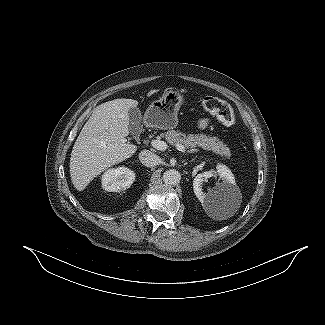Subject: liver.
<instances>
[{
    "instance_id": "obj_1",
    "label": "liver",
    "mask_w": 325,
    "mask_h": 325,
    "mask_svg": "<svg viewBox=\"0 0 325 325\" xmlns=\"http://www.w3.org/2000/svg\"><path fill=\"white\" fill-rule=\"evenodd\" d=\"M158 90H151L150 97ZM138 105L133 99H115L97 106L83 126L71 152L70 176L82 191L108 167L130 158L137 146L128 143L129 110Z\"/></svg>"
}]
</instances>
